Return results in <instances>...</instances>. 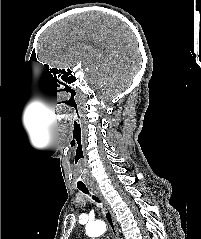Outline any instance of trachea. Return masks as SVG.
<instances>
[{
    "label": "trachea",
    "instance_id": "obj_1",
    "mask_svg": "<svg viewBox=\"0 0 201 239\" xmlns=\"http://www.w3.org/2000/svg\"><path fill=\"white\" fill-rule=\"evenodd\" d=\"M78 189L81 190L85 194H89L88 189L85 186H78ZM92 199L95 200L96 202L100 203V200L96 196H92Z\"/></svg>",
    "mask_w": 201,
    "mask_h": 239
}]
</instances>
